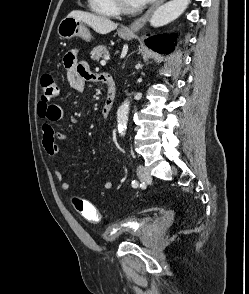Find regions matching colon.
Returning <instances> with one entry per match:
<instances>
[{
	"instance_id": "5ec220e1",
	"label": "colon",
	"mask_w": 249,
	"mask_h": 294,
	"mask_svg": "<svg viewBox=\"0 0 249 294\" xmlns=\"http://www.w3.org/2000/svg\"><path fill=\"white\" fill-rule=\"evenodd\" d=\"M59 94L58 85L51 74H44L41 78V100L48 102ZM73 205L76 212L91 223H98L101 219L96 207L86 199L74 198Z\"/></svg>"
}]
</instances>
